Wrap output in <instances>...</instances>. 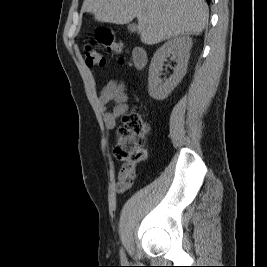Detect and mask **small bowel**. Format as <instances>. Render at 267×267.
Here are the masks:
<instances>
[{"label": "small bowel", "instance_id": "small-bowel-1", "mask_svg": "<svg viewBox=\"0 0 267 267\" xmlns=\"http://www.w3.org/2000/svg\"><path fill=\"white\" fill-rule=\"evenodd\" d=\"M128 94L125 85L116 80L109 81L101 90L98 102L101 110L103 111V120L105 127L114 129L120 117L128 111ZM111 106L110 111L107 108ZM134 177V169L123 165L122 168L116 173L115 191L117 193H124L132 185Z\"/></svg>", "mask_w": 267, "mask_h": 267}]
</instances>
